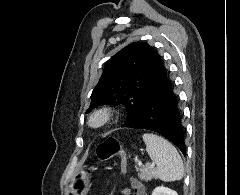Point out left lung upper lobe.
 Instances as JSON below:
<instances>
[{
    "label": "left lung upper lobe",
    "instance_id": "left-lung-upper-lobe-1",
    "mask_svg": "<svg viewBox=\"0 0 240 195\" xmlns=\"http://www.w3.org/2000/svg\"><path fill=\"white\" fill-rule=\"evenodd\" d=\"M167 77L160 55L148 43H132L107 62L87 112L103 104H122L129 122Z\"/></svg>",
    "mask_w": 240,
    "mask_h": 195
}]
</instances>
